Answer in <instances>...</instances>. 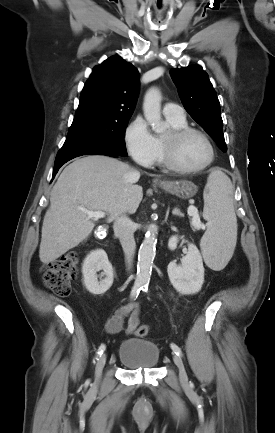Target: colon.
Masks as SVG:
<instances>
[{"mask_svg": "<svg viewBox=\"0 0 275 433\" xmlns=\"http://www.w3.org/2000/svg\"><path fill=\"white\" fill-rule=\"evenodd\" d=\"M77 262L78 253L74 250L50 262L43 276L45 285L59 296L69 295L72 282L78 274ZM148 333V325L138 324L135 330V334L138 337H145Z\"/></svg>", "mask_w": 275, "mask_h": 433, "instance_id": "colon-1", "label": "colon"}]
</instances>
